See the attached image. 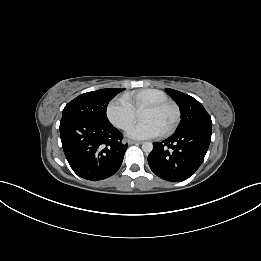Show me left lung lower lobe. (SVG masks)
<instances>
[{"instance_id":"1","label":"left lung lower lobe","mask_w":261,"mask_h":261,"mask_svg":"<svg viewBox=\"0 0 261 261\" xmlns=\"http://www.w3.org/2000/svg\"><path fill=\"white\" fill-rule=\"evenodd\" d=\"M211 141V126L176 131L171 137L153 143L148 163L160 178L178 182L189 178L204 160Z\"/></svg>"}]
</instances>
